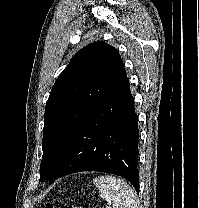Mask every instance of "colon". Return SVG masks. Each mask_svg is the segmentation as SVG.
Returning a JSON list of instances; mask_svg holds the SVG:
<instances>
[{
    "label": "colon",
    "instance_id": "1",
    "mask_svg": "<svg viewBox=\"0 0 199 208\" xmlns=\"http://www.w3.org/2000/svg\"><path fill=\"white\" fill-rule=\"evenodd\" d=\"M46 208H54V205L48 204ZM62 208H85V207H80V206L72 205V204H65L64 206H62Z\"/></svg>",
    "mask_w": 199,
    "mask_h": 208
}]
</instances>
